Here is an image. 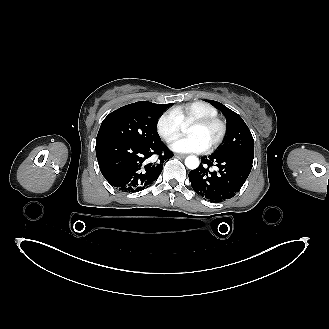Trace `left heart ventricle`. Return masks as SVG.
Wrapping results in <instances>:
<instances>
[{"mask_svg": "<svg viewBox=\"0 0 329 329\" xmlns=\"http://www.w3.org/2000/svg\"><path fill=\"white\" fill-rule=\"evenodd\" d=\"M186 133L188 135H197L208 147L217 138L219 128L214 124L208 126L189 125Z\"/></svg>", "mask_w": 329, "mask_h": 329, "instance_id": "1", "label": "left heart ventricle"}]
</instances>
